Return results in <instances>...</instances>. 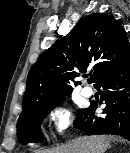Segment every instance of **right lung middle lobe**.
<instances>
[{
  "mask_svg": "<svg viewBox=\"0 0 130 153\" xmlns=\"http://www.w3.org/2000/svg\"><path fill=\"white\" fill-rule=\"evenodd\" d=\"M63 98L52 101L50 103L36 106L20 115L17 122V134L20 143L27 144L29 142L36 143L43 140L40 125L48 113L57 105L61 104ZM83 109L78 110V115Z\"/></svg>",
  "mask_w": 130,
  "mask_h": 153,
  "instance_id": "1",
  "label": "right lung middle lobe"
}]
</instances>
